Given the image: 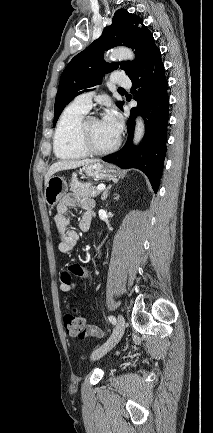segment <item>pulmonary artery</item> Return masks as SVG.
Returning a JSON list of instances; mask_svg holds the SVG:
<instances>
[{
	"instance_id": "obj_1",
	"label": "pulmonary artery",
	"mask_w": 213,
	"mask_h": 433,
	"mask_svg": "<svg viewBox=\"0 0 213 433\" xmlns=\"http://www.w3.org/2000/svg\"><path fill=\"white\" fill-rule=\"evenodd\" d=\"M113 82L116 85L121 86V87H130L131 86L130 79L124 73H121V72H117L114 74ZM93 96H94V92H91V91L90 92H84V93L78 95L74 99L73 103L75 105H77L78 107L88 111L91 108Z\"/></svg>"
}]
</instances>
